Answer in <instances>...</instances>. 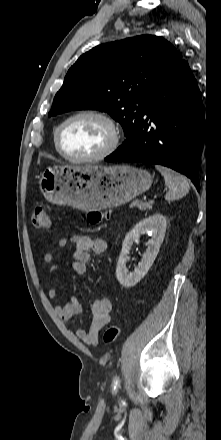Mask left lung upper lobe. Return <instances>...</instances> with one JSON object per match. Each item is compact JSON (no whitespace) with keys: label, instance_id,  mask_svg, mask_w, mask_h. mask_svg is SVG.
Instances as JSON below:
<instances>
[{"label":"left lung upper lobe","instance_id":"5c2ea615","mask_svg":"<svg viewBox=\"0 0 221 440\" xmlns=\"http://www.w3.org/2000/svg\"><path fill=\"white\" fill-rule=\"evenodd\" d=\"M180 62L174 46L154 35L96 46L68 70L50 115L78 109L107 112L122 125L127 141L151 97Z\"/></svg>","mask_w":221,"mask_h":440}]
</instances>
